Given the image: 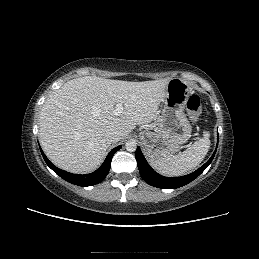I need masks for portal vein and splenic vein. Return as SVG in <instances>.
Segmentation results:
<instances>
[{
    "instance_id": "18ae733b",
    "label": "portal vein and splenic vein",
    "mask_w": 259,
    "mask_h": 259,
    "mask_svg": "<svg viewBox=\"0 0 259 259\" xmlns=\"http://www.w3.org/2000/svg\"><path fill=\"white\" fill-rule=\"evenodd\" d=\"M124 108L121 103L117 104L114 110V115L119 116L123 112Z\"/></svg>"
}]
</instances>
